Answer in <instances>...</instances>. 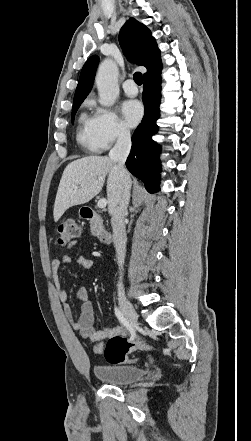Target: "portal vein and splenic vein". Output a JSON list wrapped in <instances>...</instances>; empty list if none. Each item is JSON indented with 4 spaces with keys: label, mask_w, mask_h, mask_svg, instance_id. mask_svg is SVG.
I'll return each mask as SVG.
<instances>
[{
    "label": "portal vein and splenic vein",
    "mask_w": 251,
    "mask_h": 441,
    "mask_svg": "<svg viewBox=\"0 0 251 441\" xmlns=\"http://www.w3.org/2000/svg\"><path fill=\"white\" fill-rule=\"evenodd\" d=\"M98 208H105L107 206V200L105 198H101L97 202Z\"/></svg>",
    "instance_id": "obj_1"
}]
</instances>
